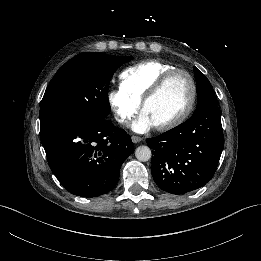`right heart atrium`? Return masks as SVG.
<instances>
[{
    "label": "right heart atrium",
    "instance_id": "d8ad5b80",
    "mask_svg": "<svg viewBox=\"0 0 261 261\" xmlns=\"http://www.w3.org/2000/svg\"><path fill=\"white\" fill-rule=\"evenodd\" d=\"M107 101L115 119L123 126H129L140 110V103L121 88L108 92Z\"/></svg>",
    "mask_w": 261,
    "mask_h": 261
}]
</instances>
